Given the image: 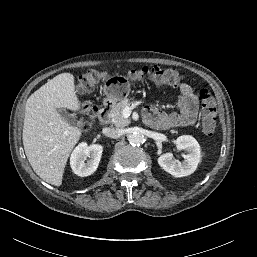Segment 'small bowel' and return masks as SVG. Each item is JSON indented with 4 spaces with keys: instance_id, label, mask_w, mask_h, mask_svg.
<instances>
[{
    "instance_id": "c3829d8e",
    "label": "small bowel",
    "mask_w": 257,
    "mask_h": 257,
    "mask_svg": "<svg viewBox=\"0 0 257 257\" xmlns=\"http://www.w3.org/2000/svg\"><path fill=\"white\" fill-rule=\"evenodd\" d=\"M180 90L179 112L164 113L153 107H148L145 112L146 122L156 128L172 129L192 126L198 116V100L193 88L181 83L178 85Z\"/></svg>"
}]
</instances>
